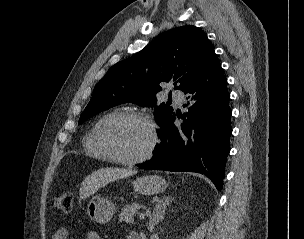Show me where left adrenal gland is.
Returning <instances> with one entry per match:
<instances>
[{"mask_svg":"<svg viewBox=\"0 0 304 239\" xmlns=\"http://www.w3.org/2000/svg\"><path fill=\"white\" fill-rule=\"evenodd\" d=\"M172 202L171 196H163L156 204L149 219V230L153 232L154 226L162 221L167 206Z\"/></svg>","mask_w":304,"mask_h":239,"instance_id":"obj_1","label":"left adrenal gland"}]
</instances>
